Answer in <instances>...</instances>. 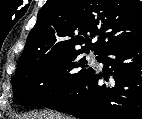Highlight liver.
I'll use <instances>...</instances> for the list:
<instances>
[{"label": "liver", "instance_id": "1", "mask_svg": "<svg viewBox=\"0 0 142 119\" xmlns=\"http://www.w3.org/2000/svg\"><path fill=\"white\" fill-rule=\"evenodd\" d=\"M22 119H70V118L60 114L39 113V114H33L31 116H24Z\"/></svg>", "mask_w": 142, "mask_h": 119}]
</instances>
